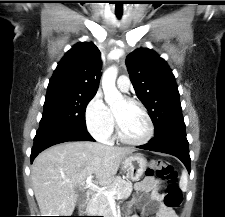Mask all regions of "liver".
I'll return each mask as SVG.
<instances>
[{
    "label": "liver",
    "mask_w": 225,
    "mask_h": 217,
    "mask_svg": "<svg viewBox=\"0 0 225 217\" xmlns=\"http://www.w3.org/2000/svg\"><path fill=\"white\" fill-rule=\"evenodd\" d=\"M133 152L88 141L65 142L41 152L31 167V181L42 216H71L78 186L88 177L102 186L110 184Z\"/></svg>",
    "instance_id": "obj_1"
}]
</instances>
